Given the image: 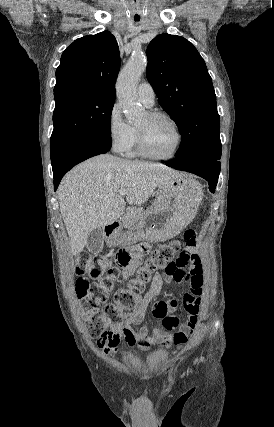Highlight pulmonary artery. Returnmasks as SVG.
<instances>
[{
    "mask_svg": "<svg viewBox=\"0 0 274 427\" xmlns=\"http://www.w3.org/2000/svg\"><path fill=\"white\" fill-rule=\"evenodd\" d=\"M138 99L147 107L152 108L154 106V90L150 83L142 81L138 85L137 89Z\"/></svg>",
    "mask_w": 274,
    "mask_h": 427,
    "instance_id": "1",
    "label": "pulmonary artery"
}]
</instances>
